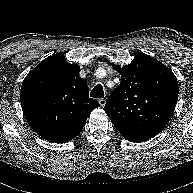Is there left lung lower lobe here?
I'll return each mask as SVG.
<instances>
[{"label": "left lung lower lobe", "mask_w": 193, "mask_h": 193, "mask_svg": "<svg viewBox=\"0 0 193 193\" xmlns=\"http://www.w3.org/2000/svg\"><path fill=\"white\" fill-rule=\"evenodd\" d=\"M147 140L148 139H131L129 141L139 143V142H144V141H147Z\"/></svg>", "instance_id": "0a47b994"}]
</instances>
